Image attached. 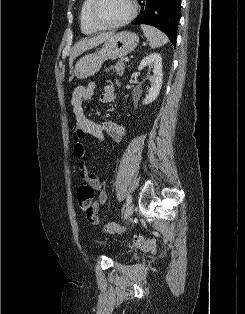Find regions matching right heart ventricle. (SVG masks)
<instances>
[{
  "instance_id": "obj_1",
  "label": "right heart ventricle",
  "mask_w": 245,
  "mask_h": 314,
  "mask_svg": "<svg viewBox=\"0 0 245 314\" xmlns=\"http://www.w3.org/2000/svg\"><path fill=\"white\" fill-rule=\"evenodd\" d=\"M93 0H84L80 10V27L85 34H95L102 30L92 20L90 10Z\"/></svg>"
}]
</instances>
